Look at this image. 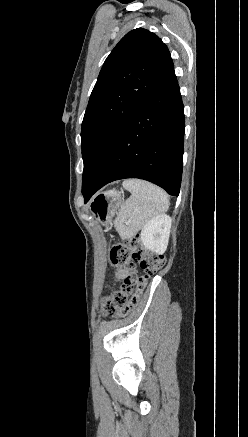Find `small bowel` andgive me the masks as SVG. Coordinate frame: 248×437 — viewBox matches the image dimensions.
Segmentation results:
<instances>
[{
  "mask_svg": "<svg viewBox=\"0 0 248 437\" xmlns=\"http://www.w3.org/2000/svg\"><path fill=\"white\" fill-rule=\"evenodd\" d=\"M123 275H124V270H122V269H119V270L116 272V277H118V278L122 277Z\"/></svg>",
  "mask_w": 248,
  "mask_h": 437,
  "instance_id": "c3829d8e",
  "label": "small bowel"
}]
</instances>
